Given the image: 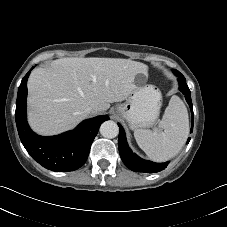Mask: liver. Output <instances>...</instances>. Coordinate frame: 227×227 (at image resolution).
<instances>
[{"label":"liver","instance_id":"1","mask_svg":"<svg viewBox=\"0 0 227 227\" xmlns=\"http://www.w3.org/2000/svg\"><path fill=\"white\" fill-rule=\"evenodd\" d=\"M143 63L121 58H61L36 68L28 80V121L41 135H55L87 117L126 100L135 90V78L146 73Z\"/></svg>","mask_w":227,"mask_h":227}]
</instances>
